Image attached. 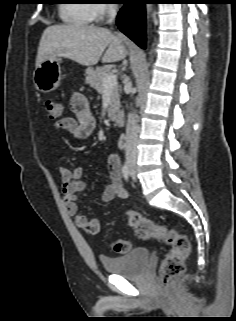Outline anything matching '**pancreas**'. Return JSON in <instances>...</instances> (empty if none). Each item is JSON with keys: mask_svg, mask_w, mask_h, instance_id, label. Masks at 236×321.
<instances>
[{"mask_svg": "<svg viewBox=\"0 0 236 321\" xmlns=\"http://www.w3.org/2000/svg\"><path fill=\"white\" fill-rule=\"evenodd\" d=\"M112 74L111 69L108 67H97L96 69L89 68L86 71L85 82L94 88L99 94H102L105 87L103 85V79ZM120 87L116 84L111 89V96L108 107V116L114 117L116 111L120 108Z\"/></svg>", "mask_w": 236, "mask_h": 321, "instance_id": "pancreas-1", "label": "pancreas"}]
</instances>
